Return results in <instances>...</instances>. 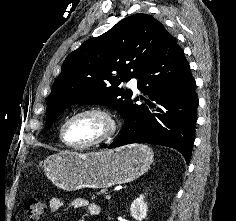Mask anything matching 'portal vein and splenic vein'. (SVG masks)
Listing matches in <instances>:
<instances>
[{"mask_svg":"<svg viewBox=\"0 0 236 221\" xmlns=\"http://www.w3.org/2000/svg\"><path fill=\"white\" fill-rule=\"evenodd\" d=\"M107 200L111 199V195H106L105 197Z\"/></svg>","mask_w":236,"mask_h":221,"instance_id":"obj_1","label":"portal vein and splenic vein"}]
</instances>
